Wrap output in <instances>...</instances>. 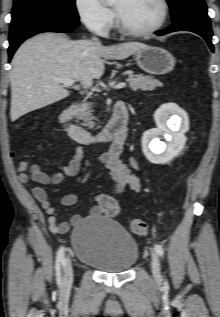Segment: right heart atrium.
Here are the masks:
<instances>
[{
	"label": "right heart atrium",
	"mask_w": 220,
	"mask_h": 317,
	"mask_svg": "<svg viewBox=\"0 0 220 317\" xmlns=\"http://www.w3.org/2000/svg\"><path fill=\"white\" fill-rule=\"evenodd\" d=\"M75 9L83 25L97 34L104 35L113 25V15L100 0H75Z\"/></svg>",
	"instance_id": "1"
}]
</instances>
